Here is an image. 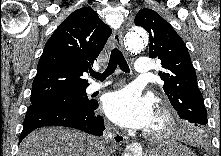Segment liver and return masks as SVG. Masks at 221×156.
I'll return each instance as SVG.
<instances>
[{
	"label": "liver",
	"instance_id": "liver-1",
	"mask_svg": "<svg viewBox=\"0 0 221 156\" xmlns=\"http://www.w3.org/2000/svg\"><path fill=\"white\" fill-rule=\"evenodd\" d=\"M101 142L63 127H45L31 132L19 146V156H102Z\"/></svg>",
	"mask_w": 221,
	"mask_h": 156
}]
</instances>
